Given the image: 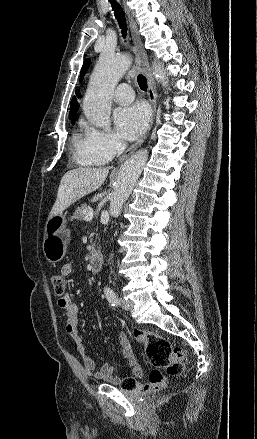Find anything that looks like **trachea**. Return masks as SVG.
<instances>
[{
    "instance_id": "trachea-1",
    "label": "trachea",
    "mask_w": 257,
    "mask_h": 439,
    "mask_svg": "<svg viewBox=\"0 0 257 439\" xmlns=\"http://www.w3.org/2000/svg\"><path fill=\"white\" fill-rule=\"evenodd\" d=\"M109 2L112 5V8H113L114 13H115V17H116L118 24L122 30V35H123V37H126L127 25H126L124 12H123L121 6L115 0H109ZM137 82L139 84V87L142 90L147 89V80H146L145 76H143L142 74H139L137 77Z\"/></svg>"
}]
</instances>
